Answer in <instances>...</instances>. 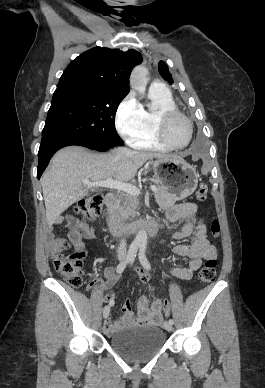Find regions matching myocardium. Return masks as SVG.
<instances>
[{
	"label": "myocardium",
	"instance_id": "myocardium-1",
	"mask_svg": "<svg viewBox=\"0 0 265 388\" xmlns=\"http://www.w3.org/2000/svg\"><path fill=\"white\" fill-rule=\"evenodd\" d=\"M150 91H160V89L158 87H153L150 89ZM173 115H178L179 117H181L186 125V128H187V133H188L187 140L184 144H182L180 146L172 145L168 141V139L165 135V124H166L168 118L173 116ZM155 129H156L157 137L160 140V142L163 143L165 146L172 148V149L185 148L189 144V142L192 138L191 121L184 113L179 111L177 108H173V107L163 108V109L158 111V113L156 114V119H155Z\"/></svg>",
	"mask_w": 265,
	"mask_h": 388
}]
</instances>
